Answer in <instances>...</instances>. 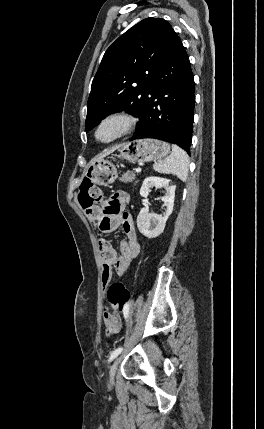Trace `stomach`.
<instances>
[{"mask_svg":"<svg viewBox=\"0 0 264 429\" xmlns=\"http://www.w3.org/2000/svg\"><path fill=\"white\" fill-rule=\"evenodd\" d=\"M170 152V145L157 139H140L126 142L119 148V156L130 162L158 161ZM85 177L98 185H108L117 178V170L108 159L93 160Z\"/></svg>","mask_w":264,"mask_h":429,"instance_id":"obj_1","label":"stomach"}]
</instances>
